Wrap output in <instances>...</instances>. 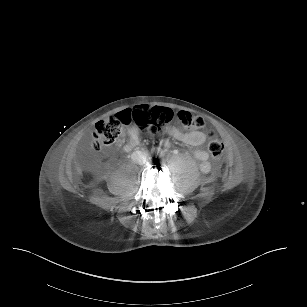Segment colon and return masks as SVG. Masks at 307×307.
I'll return each mask as SVG.
<instances>
[{"label": "colon", "mask_w": 307, "mask_h": 307, "mask_svg": "<svg viewBox=\"0 0 307 307\" xmlns=\"http://www.w3.org/2000/svg\"><path fill=\"white\" fill-rule=\"evenodd\" d=\"M175 117L186 128L199 129L205 125L201 117L195 116L186 110H179L175 113L166 107L139 106L121 114H115L110 118L100 119L92 133L91 145L94 150L100 151L103 147L112 144L120 136L123 125L132 123L143 132L157 134ZM208 150L214 160L222 159L224 146L219 137L213 132L208 134Z\"/></svg>", "instance_id": "5ec220e1"}]
</instances>
